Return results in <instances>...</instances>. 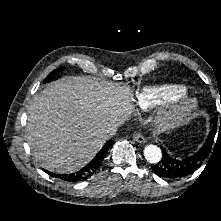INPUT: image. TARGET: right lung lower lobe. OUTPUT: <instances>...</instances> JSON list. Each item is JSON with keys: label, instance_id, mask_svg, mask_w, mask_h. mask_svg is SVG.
<instances>
[{"label": "right lung lower lobe", "instance_id": "right-lung-lower-lobe-1", "mask_svg": "<svg viewBox=\"0 0 221 221\" xmlns=\"http://www.w3.org/2000/svg\"><path fill=\"white\" fill-rule=\"evenodd\" d=\"M112 144H113V141H107L105 145L103 146V148L93 158V160L89 164H87L85 167L80 169L78 172L71 173V174H55L48 170H46L45 172L48 173L50 176L59 178L67 182H78V181L86 180L88 177L92 176L97 171L99 165L103 161L107 151L109 150Z\"/></svg>", "mask_w": 221, "mask_h": 221}]
</instances>
